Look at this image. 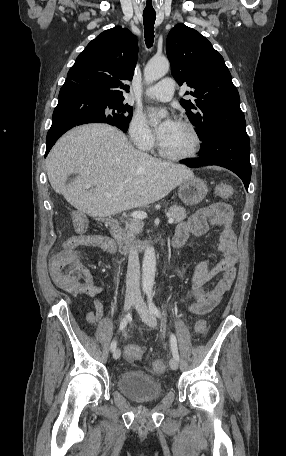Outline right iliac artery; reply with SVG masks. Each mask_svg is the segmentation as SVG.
Instances as JSON below:
<instances>
[{
	"mask_svg": "<svg viewBox=\"0 0 286 456\" xmlns=\"http://www.w3.org/2000/svg\"><path fill=\"white\" fill-rule=\"evenodd\" d=\"M130 319H131V315H130V313H128L121 321L120 326H119V331H122L126 328L127 323ZM116 346H117V342H116V340H113L111 343V346H110L111 351H114L116 349Z\"/></svg>",
	"mask_w": 286,
	"mask_h": 456,
	"instance_id": "obj_1",
	"label": "right iliac artery"
}]
</instances>
